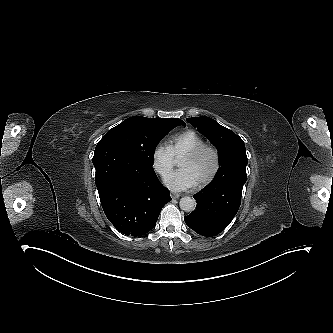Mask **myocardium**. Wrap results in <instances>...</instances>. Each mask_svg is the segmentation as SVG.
I'll use <instances>...</instances> for the list:
<instances>
[{"mask_svg": "<svg viewBox=\"0 0 333 333\" xmlns=\"http://www.w3.org/2000/svg\"><path fill=\"white\" fill-rule=\"evenodd\" d=\"M203 152H209L212 156V166L209 170V172L202 178L195 180L196 185L202 186L207 183H209L217 174L219 169V155L217 150L210 146L203 144L190 152H188L181 160H180V166L183 167L185 163L192 162L195 159H197Z\"/></svg>", "mask_w": 333, "mask_h": 333, "instance_id": "obj_1", "label": "myocardium"}]
</instances>
